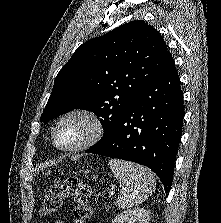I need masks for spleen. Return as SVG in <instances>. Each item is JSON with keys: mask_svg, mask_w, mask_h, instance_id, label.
<instances>
[{"mask_svg": "<svg viewBox=\"0 0 221 223\" xmlns=\"http://www.w3.org/2000/svg\"><path fill=\"white\" fill-rule=\"evenodd\" d=\"M108 165L122 187V194L117 199L119 208L136 206L154 192L156 181L148 168L118 159L109 160Z\"/></svg>", "mask_w": 221, "mask_h": 223, "instance_id": "obj_1", "label": "spleen"}]
</instances>
